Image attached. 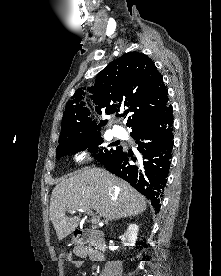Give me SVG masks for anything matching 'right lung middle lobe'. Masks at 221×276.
<instances>
[{"label":"right lung middle lobe","instance_id":"1","mask_svg":"<svg viewBox=\"0 0 221 276\" xmlns=\"http://www.w3.org/2000/svg\"><path fill=\"white\" fill-rule=\"evenodd\" d=\"M103 143V138L99 132L91 133L82 137L73 138L59 142L57 147L56 158L65 156L69 153H77L79 151L88 148V151L93 153L92 156L95 157L100 163H105L111 160L114 156L122 151V147L119 146L115 149L102 148L99 149V145Z\"/></svg>","mask_w":221,"mask_h":276}]
</instances>
